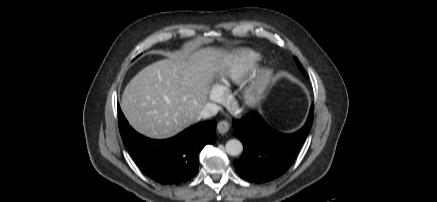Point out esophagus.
Listing matches in <instances>:
<instances>
[{"label":"esophagus","mask_w":437,"mask_h":202,"mask_svg":"<svg viewBox=\"0 0 437 202\" xmlns=\"http://www.w3.org/2000/svg\"><path fill=\"white\" fill-rule=\"evenodd\" d=\"M230 129V124L228 121L226 120H221L219 121V123L217 124V130L220 134H225L229 131Z\"/></svg>","instance_id":"1"}]
</instances>
